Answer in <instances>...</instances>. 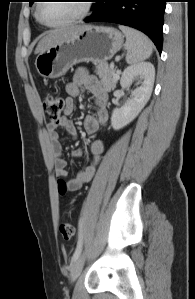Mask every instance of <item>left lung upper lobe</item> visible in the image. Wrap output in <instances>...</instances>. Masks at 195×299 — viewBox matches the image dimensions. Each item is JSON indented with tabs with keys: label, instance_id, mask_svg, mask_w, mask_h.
<instances>
[{
	"label": "left lung upper lobe",
	"instance_id": "1",
	"mask_svg": "<svg viewBox=\"0 0 195 299\" xmlns=\"http://www.w3.org/2000/svg\"><path fill=\"white\" fill-rule=\"evenodd\" d=\"M34 0H30V6L33 4Z\"/></svg>",
	"mask_w": 195,
	"mask_h": 299
}]
</instances>
